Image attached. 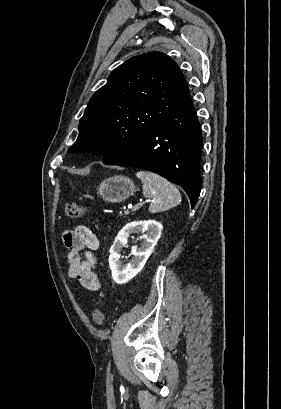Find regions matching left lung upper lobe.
Wrapping results in <instances>:
<instances>
[{
  "label": "left lung upper lobe",
  "mask_w": 281,
  "mask_h": 409,
  "mask_svg": "<svg viewBox=\"0 0 281 409\" xmlns=\"http://www.w3.org/2000/svg\"><path fill=\"white\" fill-rule=\"evenodd\" d=\"M190 98L177 64L160 52L116 68L91 98L68 152L104 154L107 164Z\"/></svg>",
  "instance_id": "5c2ea615"
}]
</instances>
